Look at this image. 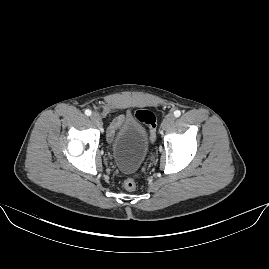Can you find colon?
<instances>
[{
    "label": "colon",
    "mask_w": 269,
    "mask_h": 269,
    "mask_svg": "<svg viewBox=\"0 0 269 269\" xmlns=\"http://www.w3.org/2000/svg\"><path fill=\"white\" fill-rule=\"evenodd\" d=\"M136 121L144 124L148 129V138L151 142H154L156 138L157 130V117L156 115L147 108H138L134 112ZM124 189L127 191H134L137 187L135 179L127 178L123 183Z\"/></svg>",
    "instance_id": "obj_1"
}]
</instances>
